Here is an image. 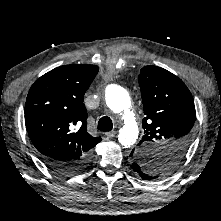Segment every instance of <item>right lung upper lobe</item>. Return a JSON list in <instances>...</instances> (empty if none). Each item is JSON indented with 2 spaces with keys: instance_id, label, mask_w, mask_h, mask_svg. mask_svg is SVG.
I'll return each instance as SVG.
<instances>
[{
  "instance_id": "1",
  "label": "right lung upper lobe",
  "mask_w": 221,
  "mask_h": 221,
  "mask_svg": "<svg viewBox=\"0 0 221 221\" xmlns=\"http://www.w3.org/2000/svg\"><path fill=\"white\" fill-rule=\"evenodd\" d=\"M99 68L96 65H64L35 81L25 104V124L41 157L58 162L91 156L101 141L87 132L84 94Z\"/></svg>"
}]
</instances>
